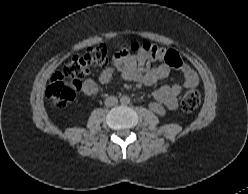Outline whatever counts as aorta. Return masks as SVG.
Wrapping results in <instances>:
<instances>
[{"label": "aorta", "instance_id": "aorta-1", "mask_svg": "<svg viewBox=\"0 0 248 194\" xmlns=\"http://www.w3.org/2000/svg\"><path fill=\"white\" fill-rule=\"evenodd\" d=\"M120 102H121L122 105H127V104L130 103V97L124 95V96H122V97L120 98Z\"/></svg>", "mask_w": 248, "mask_h": 194}]
</instances>
